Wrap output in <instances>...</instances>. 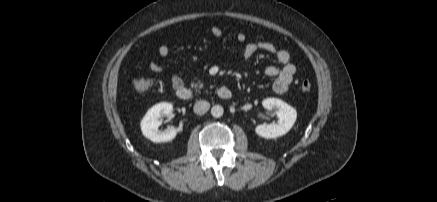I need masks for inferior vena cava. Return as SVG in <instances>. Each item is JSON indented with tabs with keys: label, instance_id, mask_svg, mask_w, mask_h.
Returning a JSON list of instances; mask_svg holds the SVG:
<instances>
[{
	"label": "inferior vena cava",
	"instance_id": "inferior-vena-cava-1",
	"mask_svg": "<svg viewBox=\"0 0 437 202\" xmlns=\"http://www.w3.org/2000/svg\"><path fill=\"white\" fill-rule=\"evenodd\" d=\"M209 108H210V103L202 100V101H197L194 104L193 110L196 114L201 115L206 113L209 110Z\"/></svg>",
	"mask_w": 437,
	"mask_h": 202
}]
</instances>
